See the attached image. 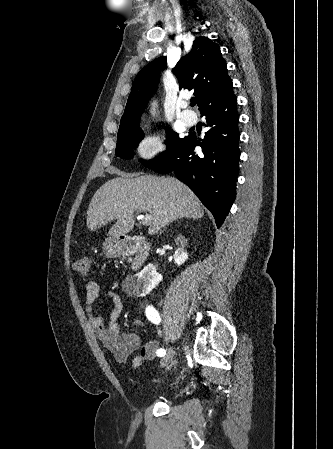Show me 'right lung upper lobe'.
<instances>
[{
    "instance_id": "1",
    "label": "right lung upper lobe",
    "mask_w": 333,
    "mask_h": 449,
    "mask_svg": "<svg viewBox=\"0 0 333 449\" xmlns=\"http://www.w3.org/2000/svg\"><path fill=\"white\" fill-rule=\"evenodd\" d=\"M164 68L166 57L162 56L137 74L120 125L132 124L139 128V117L155 91L159 74ZM172 71L180 89L194 91L199 110L217 96L232 90V80L228 76L220 46L207 37H197L189 54L182 57ZM120 137L118 134L117 139Z\"/></svg>"
}]
</instances>
